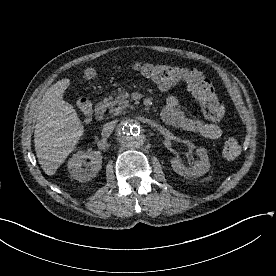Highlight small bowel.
I'll return each instance as SVG.
<instances>
[{"label":"small bowel","mask_w":276,"mask_h":276,"mask_svg":"<svg viewBox=\"0 0 276 276\" xmlns=\"http://www.w3.org/2000/svg\"><path fill=\"white\" fill-rule=\"evenodd\" d=\"M161 116L163 121L171 126L197 133L208 139H218L222 135L219 125L186 114L180 108L178 99L173 96L167 99Z\"/></svg>","instance_id":"small-bowel-1"}]
</instances>
